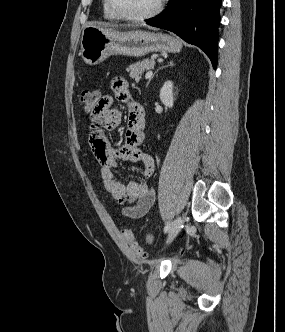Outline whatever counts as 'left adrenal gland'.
<instances>
[{"mask_svg": "<svg viewBox=\"0 0 285 332\" xmlns=\"http://www.w3.org/2000/svg\"><path fill=\"white\" fill-rule=\"evenodd\" d=\"M173 65V61H170L169 63H168V65L167 66H172ZM163 67H160L159 69H157V71L154 73V75L160 70V69H162ZM154 75L149 79V81H148V83H147V86L149 85V83H150V81L152 80V78L154 77Z\"/></svg>", "mask_w": 285, "mask_h": 332, "instance_id": "a2214340", "label": "left adrenal gland"}]
</instances>
